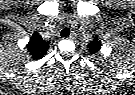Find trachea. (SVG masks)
Instances as JSON below:
<instances>
[{"mask_svg":"<svg viewBox=\"0 0 135 95\" xmlns=\"http://www.w3.org/2000/svg\"><path fill=\"white\" fill-rule=\"evenodd\" d=\"M70 35V29L68 27H65L62 31H61V37H67Z\"/></svg>","mask_w":135,"mask_h":95,"instance_id":"1","label":"trachea"}]
</instances>
